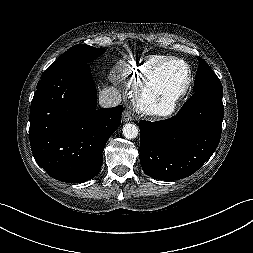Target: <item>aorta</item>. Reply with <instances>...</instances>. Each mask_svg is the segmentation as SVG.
<instances>
[{"label":"aorta","mask_w":253,"mask_h":253,"mask_svg":"<svg viewBox=\"0 0 253 253\" xmlns=\"http://www.w3.org/2000/svg\"><path fill=\"white\" fill-rule=\"evenodd\" d=\"M123 135L127 139H134L138 136V127L135 124L127 123L123 126Z\"/></svg>","instance_id":"1"}]
</instances>
